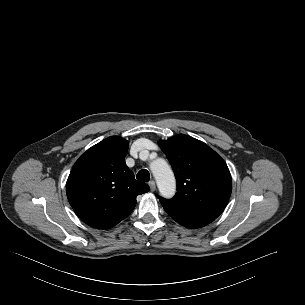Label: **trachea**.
<instances>
[{"mask_svg":"<svg viewBox=\"0 0 305 305\" xmlns=\"http://www.w3.org/2000/svg\"><path fill=\"white\" fill-rule=\"evenodd\" d=\"M136 178L140 181L148 182L150 180V175L146 169H142L137 173Z\"/></svg>","mask_w":305,"mask_h":305,"instance_id":"obj_1","label":"trachea"}]
</instances>
